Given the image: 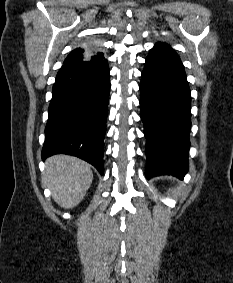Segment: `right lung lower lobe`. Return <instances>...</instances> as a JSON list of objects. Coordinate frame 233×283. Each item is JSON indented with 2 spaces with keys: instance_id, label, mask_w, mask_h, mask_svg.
<instances>
[{
  "instance_id": "98d812e1",
  "label": "right lung lower lobe",
  "mask_w": 233,
  "mask_h": 283,
  "mask_svg": "<svg viewBox=\"0 0 233 283\" xmlns=\"http://www.w3.org/2000/svg\"><path fill=\"white\" fill-rule=\"evenodd\" d=\"M107 60L64 64L53 85L42 159L77 156L103 174V148L109 103Z\"/></svg>"
}]
</instances>
